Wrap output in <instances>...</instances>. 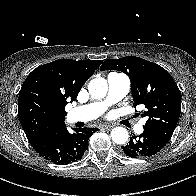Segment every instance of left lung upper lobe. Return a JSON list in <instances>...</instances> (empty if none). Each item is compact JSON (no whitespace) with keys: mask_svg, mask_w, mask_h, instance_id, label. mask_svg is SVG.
I'll use <instances>...</instances> for the list:
<instances>
[{"mask_svg":"<svg viewBox=\"0 0 196 196\" xmlns=\"http://www.w3.org/2000/svg\"><path fill=\"white\" fill-rule=\"evenodd\" d=\"M100 70H118L131 80L134 107L145 106V129L168 142L180 116L181 95L176 82L161 66L145 59L127 56L106 60ZM139 115V113H137Z\"/></svg>","mask_w":196,"mask_h":196,"instance_id":"obj_1","label":"left lung upper lobe"}]
</instances>
